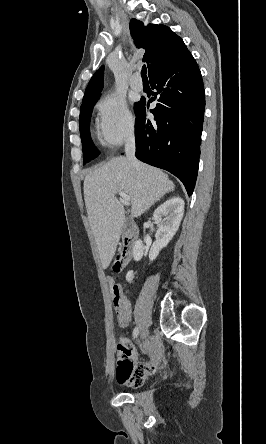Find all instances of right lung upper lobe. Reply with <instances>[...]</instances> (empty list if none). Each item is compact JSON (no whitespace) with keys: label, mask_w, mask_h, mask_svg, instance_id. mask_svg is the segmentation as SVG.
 Here are the masks:
<instances>
[{"label":"right lung upper lobe","mask_w":266,"mask_h":444,"mask_svg":"<svg viewBox=\"0 0 266 444\" xmlns=\"http://www.w3.org/2000/svg\"><path fill=\"white\" fill-rule=\"evenodd\" d=\"M130 31L138 48H144L143 61L148 65V76L180 64L192 57L183 40L165 25L130 21ZM104 66L92 76L86 88L83 103L98 98L103 88Z\"/></svg>","instance_id":"obj_1"}]
</instances>
